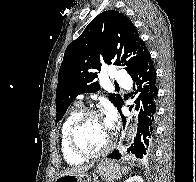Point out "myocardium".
<instances>
[{
  "instance_id": "f54148a6",
  "label": "myocardium",
  "mask_w": 196,
  "mask_h": 182,
  "mask_svg": "<svg viewBox=\"0 0 196 182\" xmlns=\"http://www.w3.org/2000/svg\"><path fill=\"white\" fill-rule=\"evenodd\" d=\"M91 117H102L101 113L97 110H86L83 111L73 122L69 134H68V144L71 151L77 156L83 159H93L106 155L114 146V136L110 135V139L106 146L99 151L96 152H87L83 150L77 142V135L81 128V126Z\"/></svg>"
}]
</instances>
